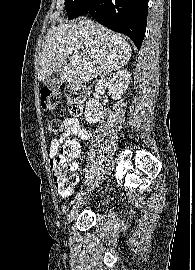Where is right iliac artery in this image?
Masks as SVG:
<instances>
[{
    "label": "right iliac artery",
    "mask_w": 195,
    "mask_h": 270,
    "mask_svg": "<svg viewBox=\"0 0 195 270\" xmlns=\"http://www.w3.org/2000/svg\"><path fill=\"white\" fill-rule=\"evenodd\" d=\"M83 194V192L81 191L80 193H78L75 198L73 199V201L71 202V205H73L77 200H79L81 198V195Z\"/></svg>",
    "instance_id": "1"
}]
</instances>
